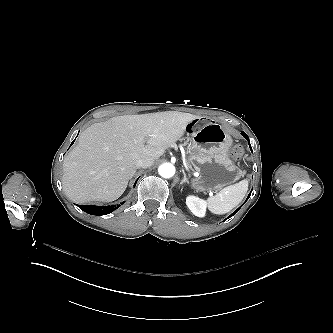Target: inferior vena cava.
Wrapping results in <instances>:
<instances>
[{"label": "inferior vena cava", "mask_w": 333, "mask_h": 333, "mask_svg": "<svg viewBox=\"0 0 333 333\" xmlns=\"http://www.w3.org/2000/svg\"><path fill=\"white\" fill-rule=\"evenodd\" d=\"M154 164V160L152 158H140L137 163L136 167L139 168H148Z\"/></svg>", "instance_id": "1"}]
</instances>
